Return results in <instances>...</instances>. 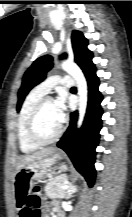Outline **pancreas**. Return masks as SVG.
Instances as JSON below:
<instances>
[{
	"mask_svg": "<svg viewBox=\"0 0 132 217\" xmlns=\"http://www.w3.org/2000/svg\"><path fill=\"white\" fill-rule=\"evenodd\" d=\"M67 183V175L62 174L50 179L44 188L45 194L49 198H63L67 195L68 190H63L62 187Z\"/></svg>",
	"mask_w": 132,
	"mask_h": 217,
	"instance_id": "cf45deb5",
	"label": "pancreas"
}]
</instances>
